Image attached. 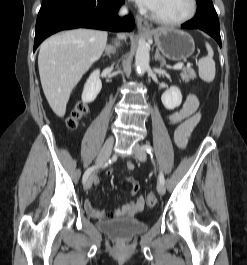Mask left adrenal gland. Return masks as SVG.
Returning <instances> with one entry per match:
<instances>
[{
    "label": "left adrenal gland",
    "mask_w": 247,
    "mask_h": 265,
    "mask_svg": "<svg viewBox=\"0 0 247 265\" xmlns=\"http://www.w3.org/2000/svg\"><path fill=\"white\" fill-rule=\"evenodd\" d=\"M155 61H159L160 62V68L164 67L165 59H164V57H162L160 55L158 50H156V53H155Z\"/></svg>",
    "instance_id": "left-adrenal-gland-1"
}]
</instances>
